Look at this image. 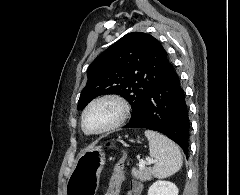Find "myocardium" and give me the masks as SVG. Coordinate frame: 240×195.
I'll use <instances>...</instances> for the list:
<instances>
[{
    "label": "myocardium",
    "mask_w": 240,
    "mask_h": 195,
    "mask_svg": "<svg viewBox=\"0 0 240 195\" xmlns=\"http://www.w3.org/2000/svg\"><path fill=\"white\" fill-rule=\"evenodd\" d=\"M105 104H110L113 105L116 110V116L115 118L105 125L104 127L90 131L86 128V117L87 114L95 107L100 106V105H105ZM130 113V107L127 102V100L122 97L121 95L115 94V93H109V94H104L102 96H99L95 99H93L84 109L81 117V126L83 131L87 135H100L106 132H109L111 130H114L118 127H120L128 118Z\"/></svg>",
    "instance_id": "myocardium-1"
}]
</instances>
